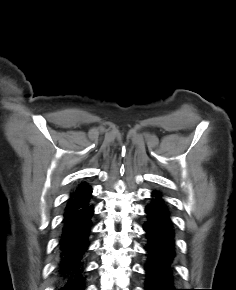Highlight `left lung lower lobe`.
<instances>
[{
    "mask_svg": "<svg viewBox=\"0 0 236 290\" xmlns=\"http://www.w3.org/2000/svg\"><path fill=\"white\" fill-rule=\"evenodd\" d=\"M146 206L147 221L144 224L146 232L147 251L146 290H177L174 288L172 263L174 260V232L169 217V211L159 192Z\"/></svg>",
    "mask_w": 236,
    "mask_h": 290,
    "instance_id": "left-lung-lower-lobe-1",
    "label": "left lung lower lobe"
}]
</instances>
